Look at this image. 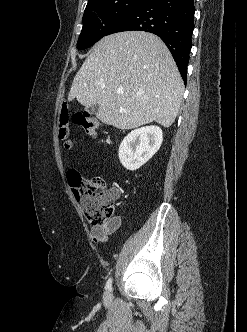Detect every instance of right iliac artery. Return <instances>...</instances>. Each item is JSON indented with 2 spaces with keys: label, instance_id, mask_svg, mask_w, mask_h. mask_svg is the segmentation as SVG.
<instances>
[{
  "label": "right iliac artery",
  "instance_id": "obj_1",
  "mask_svg": "<svg viewBox=\"0 0 247 332\" xmlns=\"http://www.w3.org/2000/svg\"><path fill=\"white\" fill-rule=\"evenodd\" d=\"M111 286H112V278H109L107 283H106L105 289L106 290H111Z\"/></svg>",
  "mask_w": 247,
  "mask_h": 332
}]
</instances>
